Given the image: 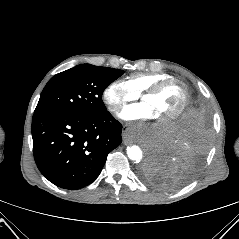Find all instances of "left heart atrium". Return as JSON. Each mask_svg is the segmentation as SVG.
Returning <instances> with one entry per match:
<instances>
[{
  "mask_svg": "<svg viewBox=\"0 0 239 239\" xmlns=\"http://www.w3.org/2000/svg\"><path fill=\"white\" fill-rule=\"evenodd\" d=\"M119 116L125 121H146L154 119L149 107L144 102L126 106Z\"/></svg>",
  "mask_w": 239,
  "mask_h": 239,
  "instance_id": "left-heart-atrium-1",
  "label": "left heart atrium"
}]
</instances>
